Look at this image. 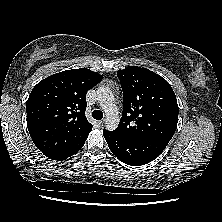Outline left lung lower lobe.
Instances as JSON below:
<instances>
[{
	"label": "left lung lower lobe",
	"instance_id": "0a47b994",
	"mask_svg": "<svg viewBox=\"0 0 222 222\" xmlns=\"http://www.w3.org/2000/svg\"><path fill=\"white\" fill-rule=\"evenodd\" d=\"M111 152L123 163L140 166L154 160L169 141L152 138H130L114 131L103 130Z\"/></svg>",
	"mask_w": 222,
	"mask_h": 222
}]
</instances>
